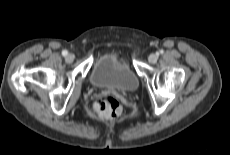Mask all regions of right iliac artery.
Masks as SVG:
<instances>
[{"label":"right iliac artery","mask_w":230,"mask_h":155,"mask_svg":"<svg viewBox=\"0 0 230 155\" xmlns=\"http://www.w3.org/2000/svg\"><path fill=\"white\" fill-rule=\"evenodd\" d=\"M62 55H63V56H67V55H68V51H67V50H63V51H62Z\"/></svg>","instance_id":"right-iliac-artery-1"}]
</instances>
